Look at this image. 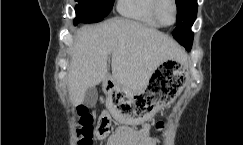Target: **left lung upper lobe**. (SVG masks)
Returning a JSON list of instances; mask_svg holds the SVG:
<instances>
[{
	"label": "left lung upper lobe",
	"instance_id": "left-lung-upper-lobe-1",
	"mask_svg": "<svg viewBox=\"0 0 243 145\" xmlns=\"http://www.w3.org/2000/svg\"><path fill=\"white\" fill-rule=\"evenodd\" d=\"M179 25L174 29L173 36L178 41L188 35V27L192 26L197 15V0H175Z\"/></svg>",
	"mask_w": 243,
	"mask_h": 145
}]
</instances>
